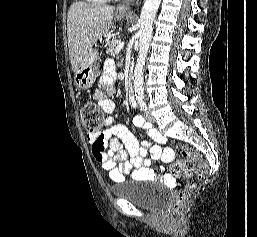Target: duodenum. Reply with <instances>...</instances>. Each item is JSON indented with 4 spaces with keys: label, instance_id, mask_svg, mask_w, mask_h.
<instances>
[{
    "label": "duodenum",
    "instance_id": "410a0bca",
    "mask_svg": "<svg viewBox=\"0 0 257 237\" xmlns=\"http://www.w3.org/2000/svg\"><path fill=\"white\" fill-rule=\"evenodd\" d=\"M127 92H128V98H129L130 103L132 105H135V103H136L135 93H134V89H133L132 85H129Z\"/></svg>",
    "mask_w": 257,
    "mask_h": 237
}]
</instances>
